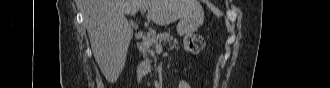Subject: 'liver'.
I'll use <instances>...</instances> for the list:
<instances>
[{
  "mask_svg": "<svg viewBox=\"0 0 330 88\" xmlns=\"http://www.w3.org/2000/svg\"><path fill=\"white\" fill-rule=\"evenodd\" d=\"M139 9H148V18L158 25L203 11L197 0H84L83 17L92 52L109 82L121 74L133 37L125 15H134Z\"/></svg>",
  "mask_w": 330,
  "mask_h": 88,
  "instance_id": "6515ba94",
  "label": "liver"
}]
</instances>
